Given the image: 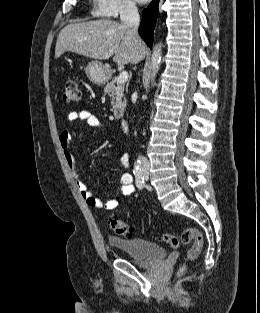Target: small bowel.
Returning <instances> with one entry per match:
<instances>
[{
  "label": "small bowel",
  "instance_id": "c3829d8e",
  "mask_svg": "<svg viewBox=\"0 0 260 313\" xmlns=\"http://www.w3.org/2000/svg\"><path fill=\"white\" fill-rule=\"evenodd\" d=\"M69 121L82 120L85 121L89 126L94 128H104L103 124L98 117L93 115L87 110L73 111L68 115ZM73 137V133L70 129H64L59 135V144L65 158L66 164L69 167L73 177L75 178L77 189L86 202V204L94 209H105L113 210L119 205L117 198H111L107 201H102L96 197L92 191H90L84 181L80 178V173L77 169L76 162L74 159L73 152L70 147V143ZM119 162L123 168L128 169L129 167V156L126 153H122L119 157ZM135 188L133 185V178L130 173L123 172L120 176V193L123 196H129L134 194Z\"/></svg>",
  "mask_w": 260,
  "mask_h": 313
}]
</instances>
